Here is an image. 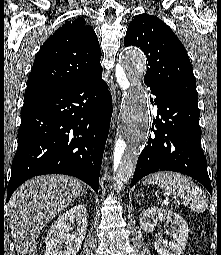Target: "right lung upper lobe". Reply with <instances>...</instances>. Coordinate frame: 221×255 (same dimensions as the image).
Wrapping results in <instances>:
<instances>
[{"label": "right lung upper lobe", "mask_w": 221, "mask_h": 255, "mask_svg": "<svg viewBox=\"0 0 221 255\" xmlns=\"http://www.w3.org/2000/svg\"><path fill=\"white\" fill-rule=\"evenodd\" d=\"M101 49L83 18L66 22L40 48L25 95L80 81L101 70Z\"/></svg>", "instance_id": "obj_1"}]
</instances>
